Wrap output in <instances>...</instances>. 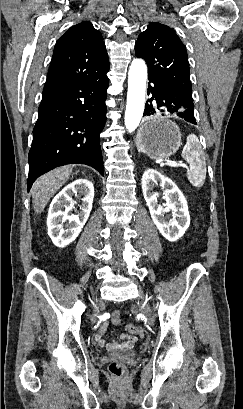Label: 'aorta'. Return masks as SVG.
<instances>
[{
  "instance_id": "762f6f07",
  "label": "aorta",
  "mask_w": 243,
  "mask_h": 409,
  "mask_svg": "<svg viewBox=\"0 0 243 409\" xmlns=\"http://www.w3.org/2000/svg\"><path fill=\"white\" fill-rule=\"evenodd\" d=\"M147 66L142 59H135L128 72L127 105L125 127L133 132L139 125L144 112Z\"/></svg>"
}]
</instances>
